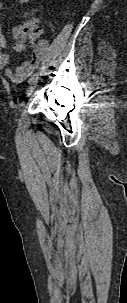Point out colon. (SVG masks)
<instances>
[{
  "mask_svg": "<svg viewBox=\"0 0 127 303\" xmlns=\"http://www.w3.org/2000/svg\"><path fill=\"white\" fill-rule=\"evenodd\" d=\"M39 32V28L35 23H28L24 27V33L27 34L30 38L38 37Z\"/></svg>",
  "mask_w": 127,
  "mask_h": 303,
  "instance_id": "obj_1",
  "label": "colon"
}]
</instances>
